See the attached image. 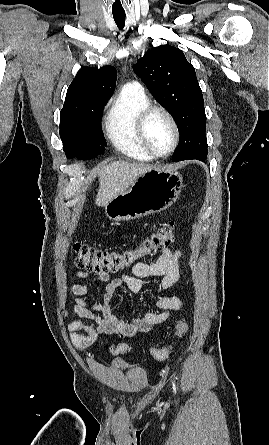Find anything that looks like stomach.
Wrapping results in <instances>:
<instances>
[{
    "label": "stomach",
    "mask_w": 269,
    "mask_h": 445,
    "mask_svg": "<svg viewBox=\"0 0 269 445\" xmlns=\"http://www.w3.org/2000/svg\"><path fill=\"white\" fill-rule=\"evenodd\" d=\"M182 178L172 168H151L105 205L106 216L113 221H128L161 212L177 199Z\"/></svg>",
    "instance_id": "stomach-1"
}]
</instances>
